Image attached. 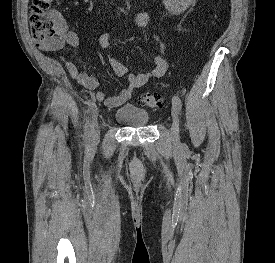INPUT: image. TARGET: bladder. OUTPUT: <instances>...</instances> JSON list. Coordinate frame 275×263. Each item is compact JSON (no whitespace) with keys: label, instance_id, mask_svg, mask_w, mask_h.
<instances>
[{"label":"bladder","instance_id":"obj_1","mask_svg":"<svg viewBox=\"0 0 275 263\" xmlns=\"http://www.w3.org/2000/svg\"><path fill=\"white\" fill-rule=\"evenodd\" d=\"M114 119L127 127H143L149 121V113L133 104L126 103L116 109Z\"/></svg>","mask_w":275,"mask_h":263}]
</instances>
